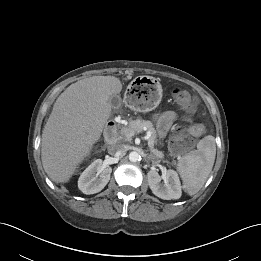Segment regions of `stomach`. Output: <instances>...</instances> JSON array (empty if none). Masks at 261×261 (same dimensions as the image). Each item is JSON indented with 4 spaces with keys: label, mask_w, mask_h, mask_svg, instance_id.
Listing matches in <instances>:
<instances>
[{
    "label": "stomach",
    "mask_w": 261,
    "mask_h": 261,
    "mask_svg": "<svg viewBox=\"0 0 261 261\" xmlns=\"http://www.w3.org/2000/svg\"><path fill=\"white\" fill-rule=\"evenodd\" d=\"M162 92V86L157 79L140 76L128 86L124 101L130 109L147 113L159 105Z\"/></svg>",
    "instance_id": "stomach-1"
}]
</instances>
